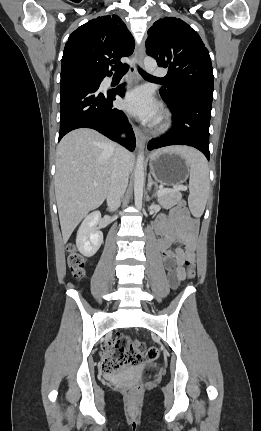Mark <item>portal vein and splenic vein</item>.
Listing matches in <instances>:
<instances>
[{
    "instance_id": "obj_1",
    "label": "portal vein and splenic vein",
    "mask_w": 261,
    "mask_h": 431,
    "mask_svg": "<svg viewBox=\"0 0 261 431\" xmlns=\"http://www.w3.org/2000/svg\"><path fill=\"white\" fill-rule=\"evenodd\" d=\"M93 185L94 186H97L98 184L95 182V183H93ZM177 190H179L180 188H176ZM169 191V189H167V188H161L159 191H158V195H162V194H164V193H166V192H168Z\"/></svg>"
}]
</instances>
